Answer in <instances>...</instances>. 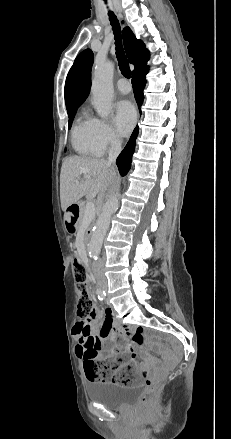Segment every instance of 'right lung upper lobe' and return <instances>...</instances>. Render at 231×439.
<instances>
[{
	"label": "right lung upper lobe",
	"instance_id": "cb5924a9",
	"mask_svg": "<svg viewBox=\"0 0 231 439\" xmlns=\"http://www.w3.org/2000/svg\"><path fill=\"white\" fill-rule=\"evenodd\" d=\"M123 41L129 62L135 66L133 72L145 66L150 53L144 43L136 39L129 27L123 29ZM92 65L93 52L90 49L84 50L76 58L65 82L67 110L79 107L88 97L91 88Z\"/></svg>",
	"mask_w": 231,
	"mask_h": 439
}]
</instances>
